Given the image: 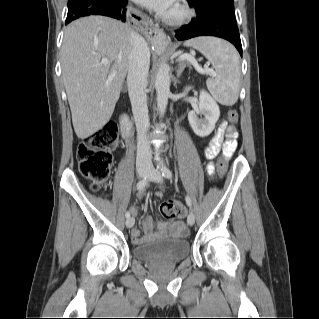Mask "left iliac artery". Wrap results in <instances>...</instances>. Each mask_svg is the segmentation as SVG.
Wrapping results in <instances>:
<instances>
[{
  "instance_id": "obj_1",
  "label": "left iliac artery",
  "mask_w": 319,
  "mask_h": 319,
  "mask_svg": "<svg viewBox=\"0 0 319 319\" xmlns=\"http://www.w3.org/2000/svg\"><path fill=\"white\" fill-rule=\"evenodd\" d=\"M162 175L165 177V178H168V179H171L172 178V172L169 170V168H167L165 165L162 166ZM185 201H186V204L187 206L191 207L192 205V202H191V199L189 196H186L185 197Z\"/></svg>"
}]
</instances>
